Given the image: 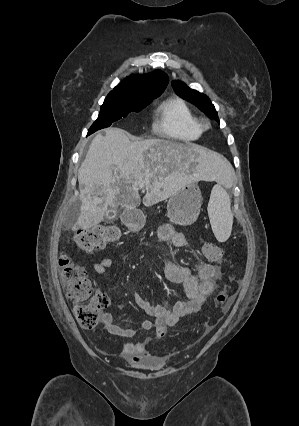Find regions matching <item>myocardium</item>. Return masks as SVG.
I'll return each mask as SVG.
<instances>
[{"mask_svg":"<svg viewBox=\"0 0 299 426\" xmlns=\"http://www.w3.org/2000/svg\"><path fill=\"white\" fill-rule=\"evenodd\" d=\"M201 125V128L203 129V130H206V129H208L209 127H210V124L208 123V122H203L202 124H200Z\"/></svg>","mask_w":299,"mask_h":426,"instance_id":"myocardium-1","label":"myocardium"}]
</instances>
